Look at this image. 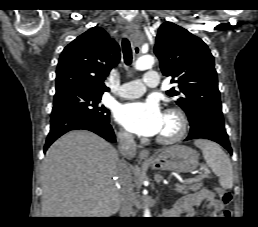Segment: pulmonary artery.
<instances>
[{"instance_id":"pulmonary-artery-1","label":"pulmonary artery","mask_w":258,"mask_h":227,"mask_svg":"<svg viewBox=\"0 0 258 227\" xmlns=\"http://www.w3.org/2000/svg\"><path fill=\"white\" fill-rule=\"evenodd\" d=\"M159 75L156 71H148L142 80H133L120 86L117 95L123 99H133L143 95L147 87H156Z\"/></svg>"}]
</instances>
